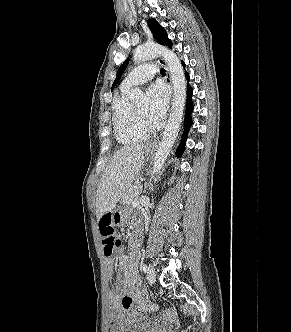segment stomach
<instances>
[{"label": "stomach", "mask_w": 291, "mask_h": 332, "mask_svg": "<svg viewBox=\"0 0 291 332\" xmlns=\"http://www.w3.org/2000/svg\"><path fill=\"white\" fill-rule=\"evenodd\" d=\"M151 153H152L151 149L146 150V155H150ZM123 215H124V211L120 207H117L115 209V211L113 212V218H112L113 223L115 225H120L121 221L123 220Z\"/></svg>", "instance_id": "obj_1"}]
</instances>
